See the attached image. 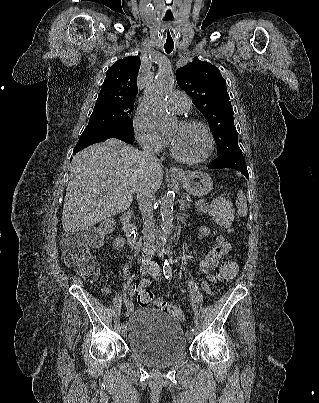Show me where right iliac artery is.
Wrapping results in <instances>:
<instances>
[{"mask_svg": "<svg viewBox=\"0 0 319 403\" xmlns=\"http://www.w3.org/2000/svg\"><path fill=\"white\" fill-rule=\"evenodd\" d=\"M145 285V281L141 282V284L139 285L140 287H143ZM136 284H132L131 288H130V294L133 296L135 291H136ZM124 327V324L121 325V328Z\"/></svg>", "mask_w": 319, "mask_h": 403, "instance_id": "right-iliac-artery-1", "label": "right iliac artery"}]
</instances>
